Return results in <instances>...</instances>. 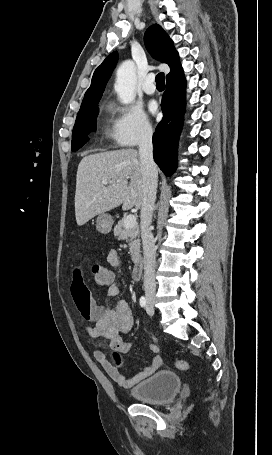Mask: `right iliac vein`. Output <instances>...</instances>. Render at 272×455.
Listing matches in <instances>:
<instances>
[{
    "label": "right iliac vein",
    "mask_w": 272,
    "mask_h": 455,
    "mask_svg": "<svg viewBox=\"0 0 272 455\" xmlns=\"http://www.w3.org/2000/svg\"><path fill=\"white\" fill-rule=\"evenodd\" d=\"M148 304H149L151 307H153V306H154V301H153L152 299H150V300L148 301Z\"/></svg>",
    "instance_id": "obj_1"
}]
</instances>
